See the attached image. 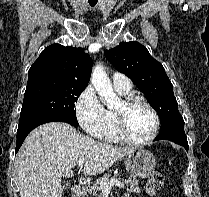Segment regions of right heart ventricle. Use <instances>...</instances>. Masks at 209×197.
I'll return each mask as SVG.
<instances>
[{"label": "right heart ventricle", "instance_id": "e07e8e85", "mask_svg": "<svg viewBox=\"0 0 209 197\" xmlns=\"http://www.w3.org/2000/svg\"><path fill=\"white\" fill-rule=\"evenodd\" d=\"M117 92L122 96H129L130 94V91L117 90ZM102 137H104L105 140L109 142H119L122 140L117 131L116 118H115L114 111H111V110L108 111V123L106 125V128L104 129Z\"/></svg>", "mask_w": 209, "mask_h": 197}]
</instances>
